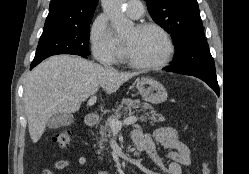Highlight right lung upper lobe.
I'll return each instance as SVG.
<instances>
[{
    "mask_svg": "<svg viewBox=\"0 0 249 174\" xmlns=\"http://www.w3.org/2000/svg\"><path fill=\"white\" fill-rule=\"evenodd\" d=\"M99 0H51L44 29L77 25L93 17Z\"/></svg>",
    "mask_w": 249,
    "mask_h": 174,
    "instance_id": "obj_1",
    "label": "right lung upper lobe"
}]
</instances>
